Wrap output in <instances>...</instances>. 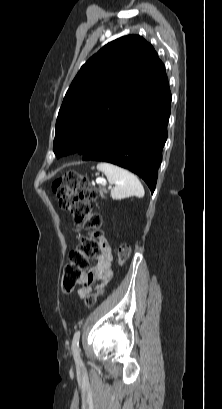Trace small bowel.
Returning a JSON list of instances; mask_svg holds the SVG:
<instances>
[{
  "label": "small bowel",
  "mask_w": 222,
  "mask_h": 409,
  "mask_svg": "<svg viewBox=\"0 0 222 409\" xmlns=\"http://www.w3.org/2000/svg\"><path fill=\"white\" fill-rule=\"evenodd\" d=\"M74 232L80 230L79 227L72 228ZM100 249L101 255L98 261L89 269L88 272L82 273V278L78 280L81 285L77 290V294L81 298H85L87 295L91 294L95 284V289H101L108 285L114 276L112 270L113 253L112 248L108 240L104 237H100Z\"/></svg>",
  "instance_id": "small-bowel-1"
}]
</instances>
